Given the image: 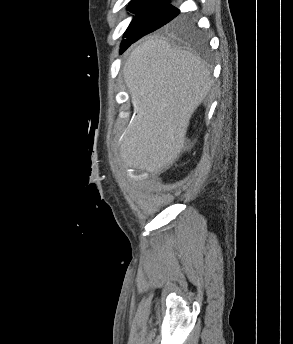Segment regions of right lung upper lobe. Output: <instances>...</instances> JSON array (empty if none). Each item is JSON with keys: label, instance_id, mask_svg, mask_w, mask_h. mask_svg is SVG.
Here are the masks:
<instances>
[{"label": "right lung upper lobe", "instance_id": "obj_1", "mask_svg": "<svg viewBox=\"0 0 293 344\" xmlns=\"http://www.w3.org/2000/svg\"><path fill=\"white\" fill-rule=\"evenodd\" d=\"M166 1L167 0H132L131 3L133 4L160 3V4L171 5L167 3Z\"/></svg>", "mask_w": 293, "mask_h": 344}]
</instances>
